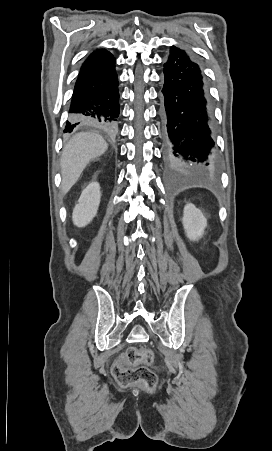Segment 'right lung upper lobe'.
I'll return each mask as SVG.
<instances>
[{
    "mask_svg": "<svg viewBox=\"0 0 272 451\" xmlns=\"http://www.w3.org/2000/svg\"><path fill=\"white\" fill-rule=\"evenodd\" d=\"M106 51H107L106 49H99V50L93 51L90 55L100 54V53H104Z\"/></svg>",
    "mask_w": 272,
    "mask_h": 451,
    "instance_id": "1",
    "label": "right lung upper lobe"
}]
</instances>
